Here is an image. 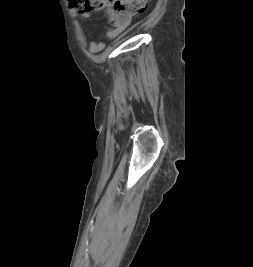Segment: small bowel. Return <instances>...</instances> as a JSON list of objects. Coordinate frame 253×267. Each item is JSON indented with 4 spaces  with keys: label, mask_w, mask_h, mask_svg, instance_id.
I'll use <instances>...</instances> for the list:
<instances>
[{
    "label": "small bowel",
    "mask_w": 253,
    "mask_h": 267,
    "mask_svg": "<svg viewBox=\"0 0 253 267\" xmlns=\"http://www.w3.org/2000/svg\"><path fill=\"white\" fill-rule=\"evenodd\" d=\"M107 13L109 18V26L106 29L104 36L100 40L91 41L89 44H87L81 27L77 25V33L80 42L84 46H88L90 52L92 53H98L102 51L108 41L118 37L131 23V17L129 15L118 13L113 9H108ZM85 16L88 17L89 15L85 14Z\"/></svg>",
    "instance_id": "obj_1"
}]
</instances>
